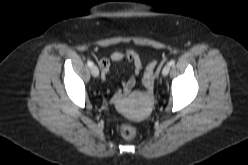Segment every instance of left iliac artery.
Returning <instances> with one entry per match:
<instances>
[{"label": "left iliac artery", "instance_id": "1", "mask_svg": "<svg viewBox=\"0 0 248 165\" xmlns=\"http://www.w3.org/2000/svg\"><path fill=\"white\" fill-rule=\"evenodd\" d=\"M175 64V61L174 60H171L170 62H169V65L170 66H173Z\"/></svg>", "mask_w": 248, "mask_h": 165}]
</instances>
